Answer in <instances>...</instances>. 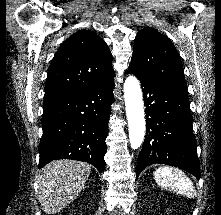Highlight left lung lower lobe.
Masks as SVG:
<instances>
[{
    "instance_id": "1",
    "label": "left lung lower lobe",
    "mask_w": 221,
    "mask_h": 215,
    "mask_svg": "<svg viewBox=\"0 0 221 215\" xmlns=\"http://www.w3.org/2000/svg\"><path fill=\"white\" fill-rule=\"evenodd\" d=\"M141 83L146 106V136L138 156L136 175L147 166L162 163L179 167L200 178L196 140L187 94L147 79L128 69Z\"/></svg>"
}]
</instances>
